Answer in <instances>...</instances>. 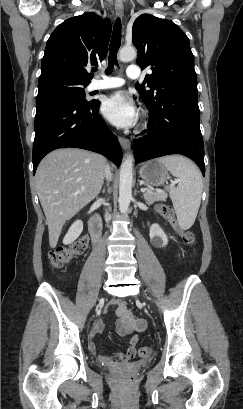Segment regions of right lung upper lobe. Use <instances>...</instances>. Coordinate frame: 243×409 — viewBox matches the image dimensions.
I'll return each mask as SVG.
<instances>
[{"mask_svg": "<svg viewBox=\"0 0 243 409\" xmlns=\"http://www.w3.org/2000/svg\"><path fill=\"white\" fill-rule=\"evenodd\" d=\"M110 34V21L93 12L65 20L47 41L39 79L64 76L89 84V66L106 57Z\"/></svg>", "mask_w": 243, "mask_h": 409, "instance_id": "obj_1", "label": "right lung upper lobe"}]
</instances>
